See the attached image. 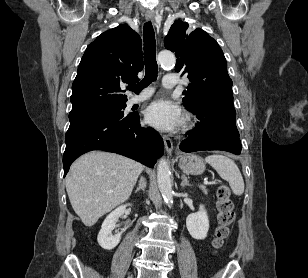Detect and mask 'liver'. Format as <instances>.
I'll use <instances>...</instances> for the list:
<instances>
[{
    "mask_svg": "<svg viewBox=\"0 0 308 278\" xmlns=\"http://www.w3.org/2000/svg\"><path fill=\"white\" fill-rule=\"evenodd\" d=\"M141 163L115 153L92 151L71 166L66 190L75 213L86 226L129 199Z\"/></svg>",
    "mask_w": 308,
    "mask_h": 278,
    "instance_id": "obj_1",
    "label": "liver"
}]
</instances>
